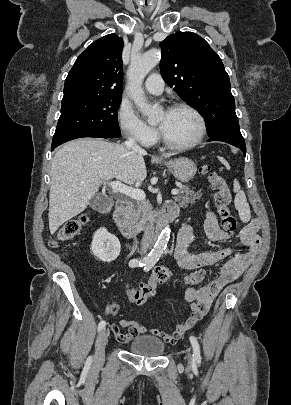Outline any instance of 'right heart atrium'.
I'll use <instances>...</instances> for the list:
<instances>
[{
	"instance_id": "d8ad5b80",
	"label": "right heart atrium",
	"mask_w": 291,
	"mask_h": 405,
	"mask_svg": "<svg viewBox=\"0 0 291 405\" xmlns=\"http://www.w3.org/2000/svg\"><path fill=\"white\" fill-rule=\"evenodd\" d=\"M118 122L123 135L128 139L143 146H149L155 141V129L143 122L130 107L120 106Z\"/></svg>"
}]
</instances>
